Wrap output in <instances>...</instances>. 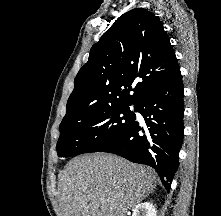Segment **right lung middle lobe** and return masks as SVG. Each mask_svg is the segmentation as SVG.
<instances>
[{
	"label": "right lung middle lobe",
	"instance_id": "1",
	"mask_svg": "<svg viewBox=\"0 0 221 216\" xmlns=\"http://www.w3.org/2000/svg\"><path fill=\"white\" fill-rule=\"evenodd\" d=\"M130 105H116L90 112L77 121L61 122L57 143L59 157L99 152L115 141L136 119ZM136 111V105H134Z\"/></svg>",
	"mask_w": 221,
	"mask_h": 216
}]
</instances>
